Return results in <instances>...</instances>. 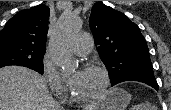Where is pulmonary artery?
Returning a JSON list of instances; mask_svg holds the SVG:
<instances>
[{
	"mask_svg": "<svg viewBox=\"0 0 171 110\" xmlns=\"http://www.w3.org/2000/svg\"><path fill=\"white\" fill-rule=\"evenodd\" d=\"M93 46L92 38L87 33L77 34L71 44L72 51L78 55L88 54Z\"/></svg>",
	"mask_w": 171,
	"mask_h": 110,
	"instance_id": "obj_1",
	"label": "pulmonary artery"
}]
</instances>
